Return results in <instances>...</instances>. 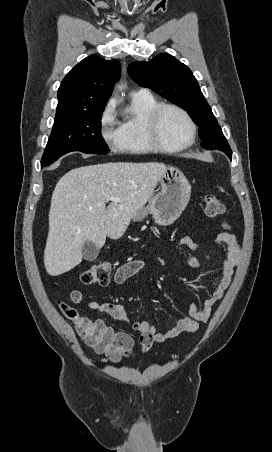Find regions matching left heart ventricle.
Masks as SVG:
<instances>
[{"instance_id": "left-heart-ventricle-1", "label": "left heart ventricle", "mask_w": 272, "mask_h": 452, "mask_svg": "<svg viewBox=\"0 0 272 452\" xmlns=\"http://www.w3.org/2000/svg\"><path fill=\"white\" fill-rule=\"evenodd\" d=\"M159 135L168 146L180 145L189 137V126L180 113L166 109L159 120Z\"/></svg>"}]
</instances>
